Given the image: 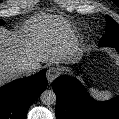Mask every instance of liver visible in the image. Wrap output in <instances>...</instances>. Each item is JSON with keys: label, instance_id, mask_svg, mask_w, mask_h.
Wrapping results in <instances>:
<instances>
[{"label": "liver", "instance_id": "6515ba94", "mask_svg": "<svg viewBox=\"0 0 119 119\" xmlns=\"http://www.w3.org/2000/svg\"><path fill=\"white\" fill-rule=\"evenodd\" d=\"M66 26L49 17L32 21L19 32L0 27V86L23 76V66L34 65L39 70L41 63L72 62L78 46ZM51 28L56 30L50 33Z\"/></svg>", "mask_w": 119, "mask_h": 119}]
</instances>
